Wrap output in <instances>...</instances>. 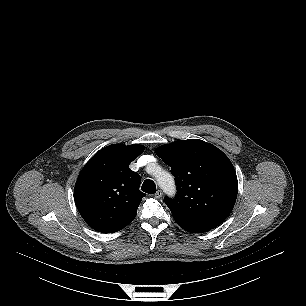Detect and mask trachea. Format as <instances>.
Segmentation results:
<instances>
[{"label":"trachea","instance_id":"3493384b","mask_svg":"<svg viewBox=\"0 0 306 306\" xmlns=\"http://www.w3.org/2000/svg\"><path fill=\"white\" fill-rule=\"evenodd\" d=\"M142 191L143 192H146L148 194H154L156 193V185L155 183L150 180V179H146L143 184H142V187H141Z\"/></svg>","mask_w":306,"mask_h":306}]
</instances>
